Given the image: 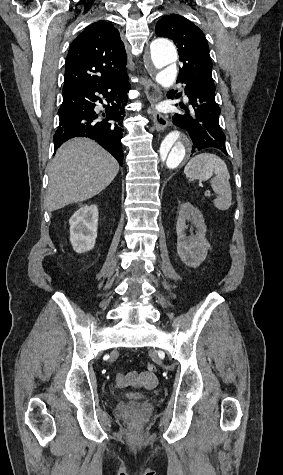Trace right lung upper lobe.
Instances as JSON below:
<instances>
[{"label": "right lung upper lobe", "instance_id": "obj_1", "mask_svg": "<svg viewBox=\"0 0 283 475\" xmlns=\"http://www.w3.org/2000/svg\"><path fill=\"white\" fill-rule=\"evenodd\" d=\"M126 60L124 44L113 24L92 23L70 46L63 90L119 79L126 75Z\"/></svg>", "mask_w": 283, "mask_h": 475}]
</instances>
